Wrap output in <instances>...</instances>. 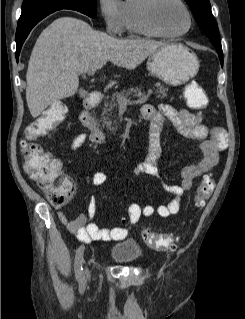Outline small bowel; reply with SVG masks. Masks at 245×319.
Masks as SVG:
<instances>
[{
  "label": "small bowel",
  "instance_id": "small-bowel-1",
  "mask_svg": "<svg viewBox=\"0 0 245 319\" xmlns=\"http://www.w3.org/2000/svg\"><path fill=\"white\" fill-rule=\"evenodd\" d=\"M141 114L145 120L151 122L149 151L147 160L134 168L133 174L135 176H158L157 162L161 155V149L157 138L164 120L170 121L182 136L198 143L199 160L197 163L183 168L179 185L165 186V189L172 195L168 204L154 208L150 204L142 206L137 202L130 203L128 217L131 224L137 223L142 217H151L155 212L164 218L177 214L180 210L184 193L192 188L193 181L196 178L214 168L218 161L219 153L225 149L227 144L226 134L222 129L207 127L202 124L201 113L185 108L177 109L168 104H161L158 108L146 104L142 107ZM86 140L87 135L85 133L77 135L72 141V149L78 150ZM106 180L107 176L102 172L94 173L91 177V182L94 186H100ZM96 211L97 202L94 197H91L86 213H81L75 219L69 220L65 212L59 211L58 218L67 226L71 233L84 243L99 240L115 242L127 237V228L98 227L93 222Z\"/></svg>",
  "mask_w": 245,
  "mask_h": 319
}]
</instances>
